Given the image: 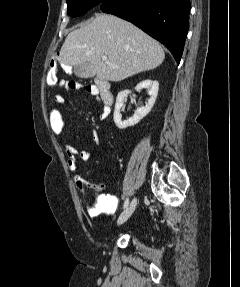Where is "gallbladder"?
<instances>
[{
    "instance_id": "1",
    "label": "gallbladder",
    "mask_w": 240,
    "mask_h": 287,
    "mask_svg": "<svg viewBox=\"0 0 240 287\" xmlns=\"http://www.w3.org/2000/svg\"><path fill=\"white\" fill-rule=\"evenodd\" d=\"M74 74L79 78H92L95 76L94 67L88 63H81L74 66Z\"/></svg>"
}]
</instances>
